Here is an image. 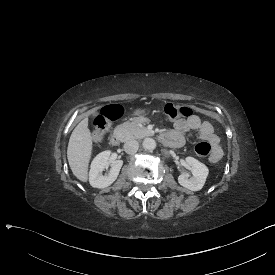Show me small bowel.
<instances>
[{"label":"small bowel","mask_w":275,"mask_h":275,"mask_svg":"<svg viewBox=\"0 0 275 275\" xmlns=\"http://www.w3.org/2000/svg\"><path fill=\"white\" fill-rule=\"evenodd\" d=\"M175 128V132H170L166 134L170 135L176 133L181 137L183 142L184 136L187 132L191 130H198L199 138L210 142L213 146L210 160L212 162H217L222 157V148L219 144V138L213 131V127L208 122H202L197 115H192L186 120H177L175 122Z\"/></svg>","instance_id":"obj_1"}]
</instances>
